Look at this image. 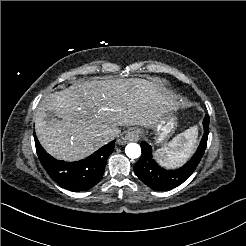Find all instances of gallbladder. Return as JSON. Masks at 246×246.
Returning <instances> with one entry per match:
<instances>
[{
  "mask_svg": "<svg viewBox=\"0 0 246 246\" xmlns=\"http://www.w3.org/2000/svg\"><path fill=\"white\" fill-rule=\"evenodd\" d=\"M46 119L47 120H50V119H52L53 117H54V113L53 112H51V111H46Z\"/></svg>",
  "mask_w": 246,
  "mask_h": 246,
  "instance_id": "gallbladder-1",
  "label": "gallbladder"
}]
</instances>
